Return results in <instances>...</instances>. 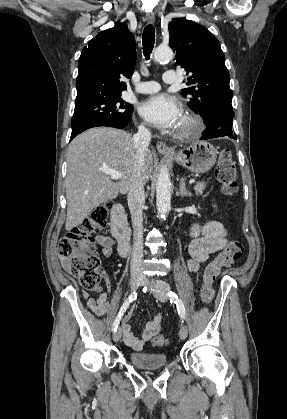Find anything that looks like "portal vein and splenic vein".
Returning a JSON list of instances; mask_svg holds the SVG:
<instances>
[{"instance_id":"18ae733b","label":"portal vein and splenic vein","mask_w":287,"mask_h":419,"mask_svg":"<svg viewBox=\"0 0 287 419\" xmlns=\"http://www.w3.org/2000/svg\"><path fill=\"white\" fill-rule=\"evenodd\" d=\"M102 172H104V173H106V174L110 175V176H111V178H112V179H114V180H118V179H120V178L122 177V174H121L120 172H118V171H115V170H111V169H102ZM189 183H190V184H193V183H195V180H194V179H191V180L189 181Z\"/></svg>"}]
</instances>
